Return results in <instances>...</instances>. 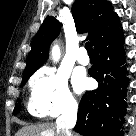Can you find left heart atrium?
Wrapping results in <instances>:
<instances>
[{
  "mask_svg": "<svg viewBox=\"0 0 136 136\" xmlns=\"http://www.w3.org/2000/svg\"><path fill=\"white\" fill-rule=\"evenodd\" d=\"M74 86L77 91H82L88 87V80L83 75H76L74 78Z\"/></svg>",
  "mask_w": 136,
  "mask_h": 136,
  "instance_id": "1",
  "label": "left heart atrium"
}]
</instances>
